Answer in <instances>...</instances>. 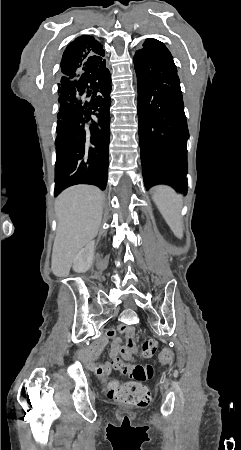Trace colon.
Wrapping results in <instances>:
<instances>
[{"instance_id":"1","label":"colon","mask_w":241,"mask_h":450,"mask_svg":"<svg viewBox=\"0 0 241 450\" xmlns=\"http://www.w3.org/2000/svg\"><path fill=\"white\" fill-rule=\"evenodd\" d=\"M157 348L158 342L153 338H149L145 340L141 346V356L144 358H149L156 353ZM170 352L171 349L166 347L164 351L161 352L159 361L161 363H166L170 356ZM122 372L129 378H132L135 382L149 380L155 374L153 366L148 364L143 365L125 363V367ZM135 382L120 384L115 381H111L107 383L103 394L109 401L122 404L126 407L146 409L149 407L152 400L151 392L145 386Z\"/></svg>"}]
</instances>
